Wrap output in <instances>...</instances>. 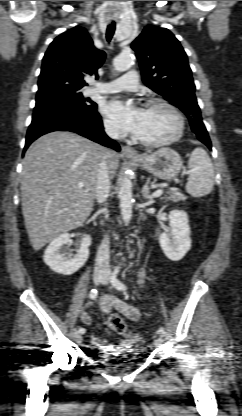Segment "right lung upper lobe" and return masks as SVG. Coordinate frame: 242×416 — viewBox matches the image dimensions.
<instances>
[{"instance_id":"cb5924a9","label":"right lung upper lobe","mask_w":242,"mask_h":416,"mask_svg":"<svg viewBox=\"0 0 242 416\" xmlns=\"http://www.w3.org/2000/svg\"><path fill=\"white\" fill-rule=\"evenodd\" d=\"M105 53L93 45L85 28L74 27L50 44L43 58L37 96L51 94L61 88L86 86V75H96Z\"/></svg>"}]
</instances>
